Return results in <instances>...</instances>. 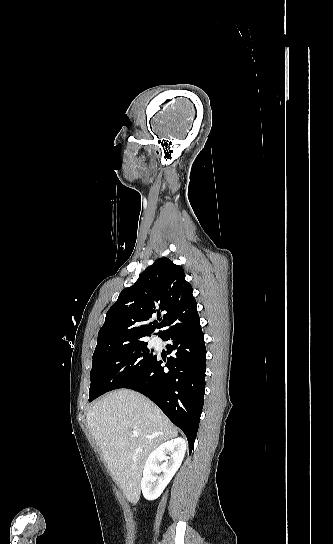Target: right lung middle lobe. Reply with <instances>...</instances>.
Instances as JSON below:
<instances>
[{
  "label": "right lung middle lobe",
  "instance_id": "dd1d6c3e",
  "mask_svg": "<svg viewBox=\"0 0 333 544\" xmlns=\"http://www.w3.org/2000/svg\"><path fill=\"white\" fill-rule=\"evenodd\" d=\"M143 339L108 343L93 354L89 401L138 379L157 355Z\"/></svg>",
  "mask_w": 333,
  "mask_h": 544
}]
</instances>
